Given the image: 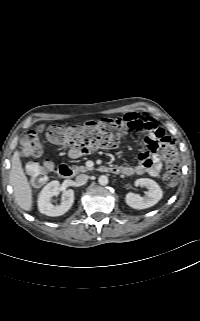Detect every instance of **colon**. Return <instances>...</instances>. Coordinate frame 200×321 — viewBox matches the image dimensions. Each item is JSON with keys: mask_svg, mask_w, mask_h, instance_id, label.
Segmentation results:
<instances>
[{"mask_svg": "<svg viewBox=\"0 0 200 321\" xmlns=\"http://www.w3.org/2000/svg\"><path fill=\"white\" fill-rule=\"evenodd\" d=\"M28 132L22 139V153L27 157H37L41 152L40 133ZM132 126L121 118H108L99 121L73 125H52L46 129L47 139L57 145L67 146L76 155L84 154L97 148H114L120 145L126 133ZM167 171L163 179L169 186H174L179 181V157L174 149L169 148L164 155ZM53 164L49 160L34 163L28 168L31 180L35 184H42L52 171Z\"/></svg>", "mask_w": 200, "mask_h": 321, "instance_id": "5ec220e1", "label": "colon"}]
</instances>
